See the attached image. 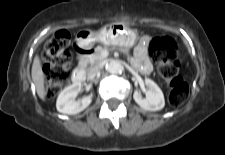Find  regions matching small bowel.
Listing matches in <instances>:
<instances>
[{"label": "small bowel", "mask_w": 225, "mask_h": 155, "mask_svg": "<svg viewBox=\"0 0 225 155\" xmlns=\"http://www.w3.org/2000/svg\"><path fill=\"white\" fill-rule=\"evenodd\" d=\"M133 65L142 73L148 74L152 71V64L147 55V39L144 38L134 49L132 58Z\"/></svg>", "instance_id": "c3829d8e"}]
</instances>
